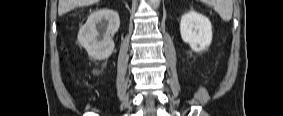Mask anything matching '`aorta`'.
Returning a JSON list of instances; mask_svg holds the SVG:
<instances>
[{"label":"aorta","mask_w":283,"mask_h":116,"mask_svg":"<svg viewBox=\"0 0 283 116\" xmlns=\"http://www.w3.org/2000/svg\"><path fill=\"white\" fill-rule=\"evenodd\" d=\"M150 2L154 8H157L160 4V0H151Z\"/></svg>","instance_id":"obj_1"}]
</instances>
